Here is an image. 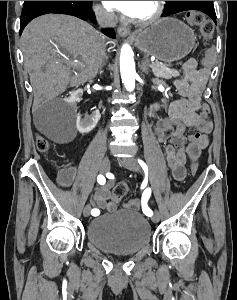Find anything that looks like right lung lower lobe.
<instances>
[{
    "instance_id": "1",
    "label": "right lung lower lobe",
    "mask_w": 237,
    "mask_h": 300,
    "mask_svg": "<svg viewBox=\"0 0 237 300\" xmlns=\"http://www.w3.org/2000/svg\"><path fill=\"white\" fill-rule=\"evenodd\" d=\"M49 13L67 14L83 20L90 19L92 22H95V16L91 10V1H48L27 10H22L20 34L32 19ZM103 33L111 38H115L112 28L104 29Z\"/></svg>"
}]
</instances>
